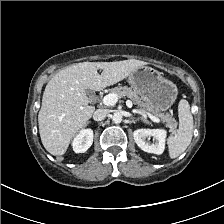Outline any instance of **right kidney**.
Instances as JSON below:
<instances>
[{"instance_id": "ca27d5eb", "label": "right kidney", "mask_w": 224, "mask_h": 224, "mask_svg": "<svg viewBox=\"0 0 224 224\" xmlns=\"http://www.w3.org/2000/svg\"><path fill=\"white\" fill-rule=\"evenodd\" d=\"M93 143V130L82 129L74 138L72 147L75 153L86 152Z\"/></svg>"}]
</instances>
